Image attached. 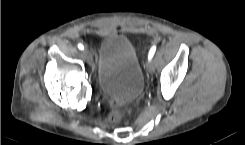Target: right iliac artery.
<instances>
[{
  "label": "right iliac artery",
  "instance_id": "82829eb1",
  "mask_svg": "<svg viewBox=\"0 0 245 145\" xmlns=\"http://www.w3.org/2000/svg\"><path fill=\"white\" fill-rule=\"evenodd\" d=\"M78 48H79L80 50H83V49H84V46H83L82 44H78Z\"/></svg>",
  "mask_w": 245,
  "mask_h": 145
}]
</instances>
